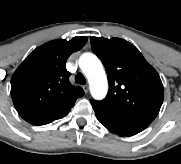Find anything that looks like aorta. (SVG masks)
<instances>
[{
	"label": "aorta",
	"mask_w": 181,
	"mask_h": 164,
	"mask_svg": "<svg viewBox=\"0 0 181 164\" xmlns=\"http://www.w3.org/2000/svg\"><path fill=\"white\" fill-rule=\"evenodd\" d=\"M79 66L88 79L92 97L103 99L108 91V81L101 61L92 53H84L79 59Z\"/></svg>",
	"instance_id": "obj_1"
}]
</instances>
